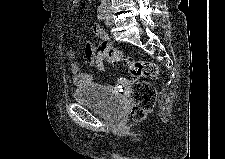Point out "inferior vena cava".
I'll return each instance as SVG.
<instances>
[{
    "mask_svg": "<svg viewBox=\"0 0 225 159\" xmlns=\"http://www.w3.org/2000/svg\"><path fill=\"white\" fill-rule=\"evenodd\" d=\"M101 3H102L103 6H109L110 5L109 0H102Z\"/></svg>",
    "mask_w": 225,
    "mask_h": 159,
    "instance_id": "inferior-vena-cava-1",
    "label": "inferior vena cava"
}]
</instances>
